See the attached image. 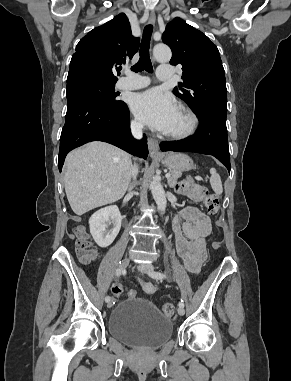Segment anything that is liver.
<instances>
[{"label": "liver", "instance_id": "1", "mask_svg": "<svg viewBox=\"0 0 291 381\" xmlns=\"http://www.w3.org/2000/svg\"><path fill=\"white\" fill-rule=\"evenodd\" d=\"M65 166V192L78 216L120 200L132 175L130 155L99 141L71 151Z\"/></svg>", "mask_w": 291, "mask_h": 381}]
</instances>
